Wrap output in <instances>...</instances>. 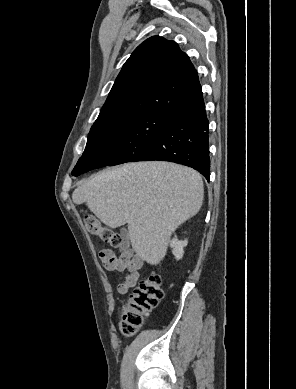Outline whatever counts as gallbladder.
<instances>
[{"label":"gallbladder","mask_w":296,"mask_h":389,"mask_svg":"<svg viewBox=\"0 0 296 389\" xmlns=\"http://www.w3.org/2000/svg\"><path fill=\"white\" fill-rule=\"evenodd\" d=\"M120 233H121V236H122L123 240L126 241V239H127V237H128V232H127V230H126L125 228H122L121 231H120ZM122 250H124V247L121 248L120 251H122Z\"/></svg>","instance_id":"obj_1"}]
</instances>
